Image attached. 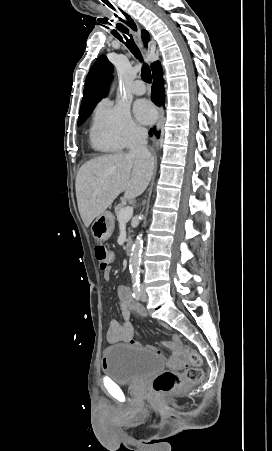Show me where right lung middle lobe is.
<instances>
[{"label":"right lung middle lobe","instance_id":"right-lung-middle-lobe-1","mask_svg":"<svg viewBox=\"0 0 272 451\" xmlns=\"http://www.w3.org/2000/svg\"><path fill=\"white\" fill-rule=\"evenodd\" d=\"M92 110L93 108L80 109L78 125H81L87 119V117L91 114Z\"/></svg>","mask_w":272,"mask_h":451}]
</instances>
